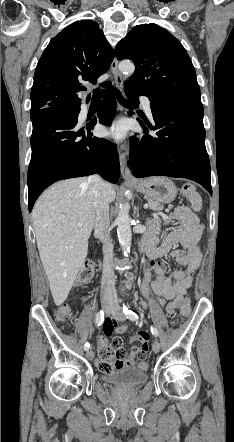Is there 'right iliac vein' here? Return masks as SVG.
Returning <instances> with one entry per match:
<instances>
[{"label":"right iliac vein","instance_id":"1","mask_svg":"<svg viewBox=\"0 0 234 442\" xmlns=\"http://www.w3.org/2000/svg\"><path fill=\"white\" fill-rule=\"evenodd\" d=\"M102 307L105 309L107 314L111 312V303L108 300L102 301ZM86 357L87 359L92 360L94 358V352L91 349L87 350Z\"/></svg>","mask_w":234,"mask_h":442}]
</instances>
